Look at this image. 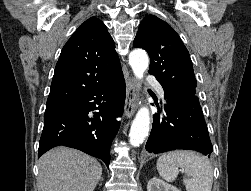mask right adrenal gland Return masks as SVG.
Instances as JSON below:
<instances>
[{
  "label": "right adrenal gland",
  "instance_id": "obj_1",
  "mask_svg": "<svg viewBox=\"0 0 251 191\" xmlns=\"http://www.w3.org/2000/svg\"><path fill=\"white\" fill-rule=\"evenodd\" d=\"M101 181H103V177H101Z\"/></svg>",
  "mask_w": 251,
  "mask_h": 191
}]
</instances>
